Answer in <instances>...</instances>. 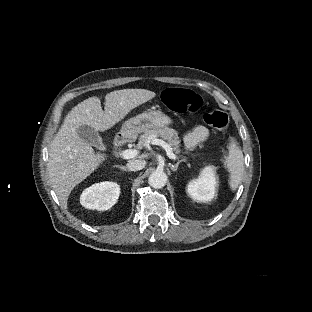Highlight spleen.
<instances>
[{
  "label": "spleen",
  "mask_w": 312,
  "mask_h": 312,
  "mask_svg": "<svg viewBox=\"0 0 312 312\" xmlns=\"http://www.w3.org/2000/svg\"><path fill=\"white\" fill-rule=\"evenodd\" d=\"M228 155L221 162L229 174L228 184L232 192L236 191L240 185L243 174V153L237 141L231 140L227 145Z\"/></svg>",
  "instance_id": "obj_1"
}]
</instances>
